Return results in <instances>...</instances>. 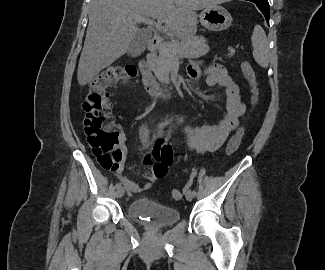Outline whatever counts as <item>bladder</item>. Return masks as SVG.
Returning <instances> with one entry per match:
<instances>
[{"instance_id": "1", "label": "bladder", "mask_w": 325, "mask_h": 270, "mask_svg": "<svg viewBox=\"0 0 325 270\" xmlns=\"http://www.w3.org/2000/svg\"><path fill=\"white\" fill-rule=\"evenodd\" d=\"M126 212L133 220L151 228L171 226L181 218L178 209L146 197L132 201Z\"/></svg>"}]
</instances>
